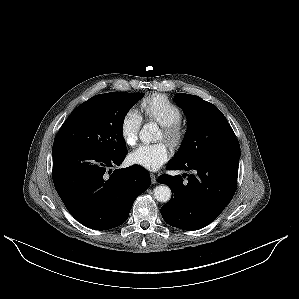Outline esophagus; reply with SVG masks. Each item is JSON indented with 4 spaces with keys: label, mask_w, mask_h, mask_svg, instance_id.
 I'll return each mask as SVG.
<instances>
[{
    "label": "esophagus",
    "mask_w": 299,
    "mask_h": 299,
    "mask_svg": "<svg viewBox=\"0 0 299 299\" xmlns=\"http://www.w3.org/2000/svg\"><path fill=\"white\" fill-rule=\"evenodd\" d=\"M150 176H151V181L153 184L157 183V177L154 173H150Z\"/></svg>",
    "instance_id": "esophagus-1"
}]
</instances>
